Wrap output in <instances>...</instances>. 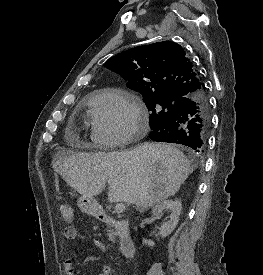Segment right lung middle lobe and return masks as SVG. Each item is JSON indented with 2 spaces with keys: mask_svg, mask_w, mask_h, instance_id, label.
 <instances>
[{
  "mask_svg": "<svg viewBox=\"0 0 263 275\" xmlns=\"http://www.w3.org/2000/svg\"><path fill=\"white\" fill-rule=\"evenodd\" d=\"M150 114V127L154 129L164 120L174 116L190 101L188 98L144 96Z\"/></svg>",
  "mask_w": 263,
  "mask_h": 275,
  "instance_id": "right-lung-middle-lobe-1",
  "label": "right lung middle lobe"
}]
</instances>
